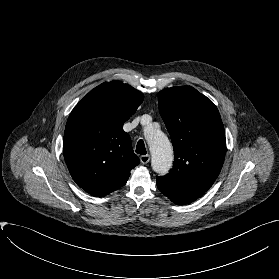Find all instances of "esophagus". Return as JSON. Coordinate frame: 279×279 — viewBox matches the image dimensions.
I'll return each instance as SVG.
<instances>
[{"label": "esophagus", "mask_w": 279, "mask_h": 279, "mask_svg": "<svg viewBox=\"0 0 279 279\" xmlns=\"http://www.w3.org/2000/svg\"><path fill=\"white\" fill-rule=\"evenodd\" d=\"M140 161L142 164H147L150 161V155H142L140 156Z\"/></svg>", "instance_id": "obj_1"}]
</instances>
